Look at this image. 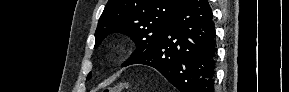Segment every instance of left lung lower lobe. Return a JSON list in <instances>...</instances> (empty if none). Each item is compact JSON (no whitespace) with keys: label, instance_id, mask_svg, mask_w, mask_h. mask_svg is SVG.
<instances>
[{"label":"left lung lower lobe","instance_id":"0a47b994","mask_svg":"<svg viewBox=\"0 0 289 92\" xmlns=\"http://www.w3.org/2000/svg\"><path fill=\"white\" fill-rule=\"evenodd\" d=\"M215 37L208 0H186L163 30L156 47L128 65L157 69L181 92H214Z\"/></svg>","mask_w":289,"mask_h":92}]
</instances>
